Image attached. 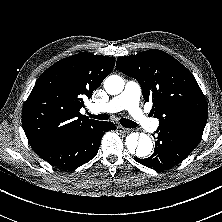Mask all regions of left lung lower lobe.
Listing matches in <instances>:
<instances>
[{"label": "left lung lower lobe", "mask_w": 222, "mask_h": 222, "mask_svg": "<svg viewBox=\"0 0 222 222\" xmlns=\"http://www.w3.org/2000/svg\"><path fill=\"white\" fill-rule=\"evenodd\" d=\"M202 129L177 124H159L154 153L146 159L134 158L138 163L158 170L169 169L183 161L199 144Z\"/></svg>", "instance_id": "1"}]
</instances>
